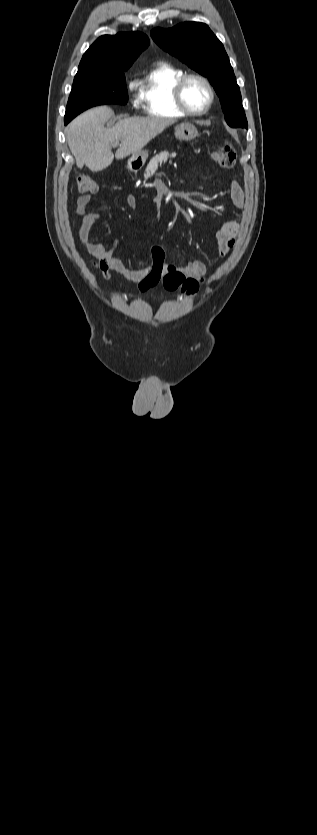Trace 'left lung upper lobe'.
<instances>
[{"instance_id": "obj_1", "label": "left lung upper lobe", "mask_w": 317, "mask_h": 835, "mask_svg": "<svg viewBox=\"0 0 317 835\" xmlns=\"http://www.w3.org/2000/svg\"><path fill=\"white\" fill-rule=\"evenodd\" d=\"M151 36L163 50L210 80L228 125L248 128L229 58L223 44L206 24L185 22L170 29L155 28Z\"/></svg>"}]
</instances>
